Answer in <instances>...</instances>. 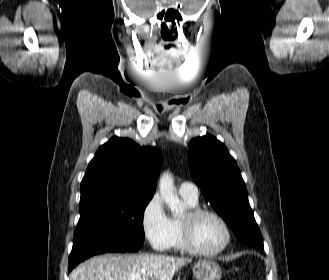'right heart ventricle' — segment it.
<instances>
[{"label":"right heart ventricle","instance_id":"obj_1","mask_svg":"<svg viewBox=\"0 0 329 280\" xmlns=\"http://www.w3.org/2000/svg\"><path fill=\"white\" fill-rule=\"evenodd\" d=\"M185 204L188 208H194L197 206V201H193L187 197L182 196ZM171 220V226H172V240L170 247L173 250L176 251H183L184 247L181 241V232H180V219L173 217Z\"/></svg>","mask_w":329,"mask_h":280}]
</instances>
